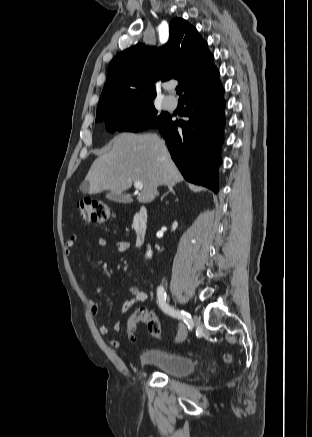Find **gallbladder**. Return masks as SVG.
Instances as JSON below:
<instances>
[{
    "mask_svg": "<svg viewBox=\"0 0 312 437\" xmlns=\"http://www.w3.org/2000/svg\"><path fill=\"white\" fill-rule=\"evenodd\" d=\"M106 197L109 200L116 201V202H131L132 201V197L130 195L109 193L106 195Z\"/></svg>",
    "mask_w": 312,
    "mask_h": 437,
    "instance_id": "bac80fb5",
    "label": "gallbladder"
}]
</instances>
